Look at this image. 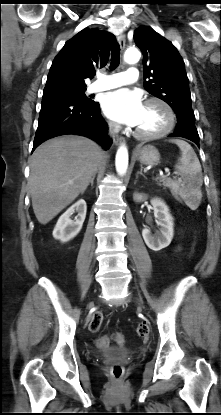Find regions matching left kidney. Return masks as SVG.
<instances>
[{
	"instance_id": "1",
	"label": "left kidney",
	"mask_w": 221,
	"mask_h": 415,
	"mask_svg": "<svg viewBox=\"0 0 221 415\" xmlns=\"http://www.w3.org/2000/svg\"><path fill=\"white\" fill-rule=\"evenodd\" d=\"M147 196L140 193H135L133 199L136 202L146 200ZM151 204L154 209V216L158 219L157 225L160 230L153 235L149 228L142 230V236L146 245L153 251H159L166 248L173 238V217L171 216L168 206L160 198L151 199Z\"/></svg>"
}]
</instances>
